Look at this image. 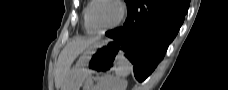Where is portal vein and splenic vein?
<instances>
[{
  "mask_svg": "<svg viewBox=\"0 0 228 90\" xmlns=\"http://www.w3.org/2000/svg\"><path fill=\"white\" fill-rule=\"evenodd\" d=\"M98 79V77H95V80H97Z\"/></svg>",
  "mask_w": 228,
  "mask_h": 90,
  "instance_id": "obj_1",
  "label": "portal vein and splenic vein"
}]
</instances>
